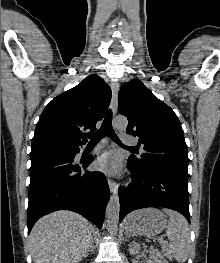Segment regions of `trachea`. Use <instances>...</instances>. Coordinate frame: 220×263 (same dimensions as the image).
I'll return each instance as SVG.
<instances>
[{
  "label": "trachea",
  "instance_id": "1",
  "mask_svg": "<svg viewBox=\"0 0 220 263\" xmlns=\"http://www.w3.org/2000/svg\"><path fill=\"white\" fill-rule=\"evenodd\" d=\"M105 136L112 139L118 145L127 147L124 144H122V142L119 140L118 136L116 135V133L113 130V127H112V111L111 110H109L107 112L100 129L97 132L88 135L91 143L99 142Z\"/></svg>",
  "mask_w": 220,
  "mask_h": 263
}]
</instances>
